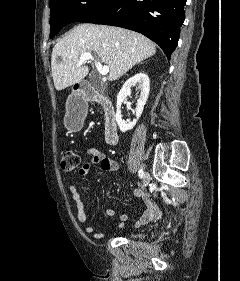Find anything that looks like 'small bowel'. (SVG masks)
I'll return each mask as SVG.
<instances>
[{
  "instance_id": "1",
  "label": "small bowel",
  "mask_w": 240,
  "mask_h": 281,
  "mask_svg": "<svg viewBox=\"0 0 240 281\" xmlns=\"http://www.w3.org/2000/svg\"><path fill=\"white\" fill-rule=\"evenodd\" d=\"M87 155L89 157V160L85 163H83L79 169V174L81 176H87L90 173V170L92 166L94 165H100L102 170L108 171V172H116L119 169V164L114 159H111L107 157L102 151L96 149V148H89L87 150ZM69 190L72 195V199L74 200L76 204V218L77 221L81 224L86 223L87 221V215L85 212L84 203L81 198V194L75 185H70ZM134 194L138 197H140L143 200L144 203V209L141 215L138 217L137 221L135 222V227H140L149 221H151L155 214H156V208L153 205V203L150 200V196L147 192L143 190H135ZM106 214L109 217H114L117 215L116 210L114 209H108L106 211ZM120 220V227L124 225V223L127 221L128 216L125 214H121L118 216ZM85 231L89 234H93L95 238H101L105 235L104 232L99 231L97 228L93 226H87L85 228Z\"/></svg>"
}]
</instances>
